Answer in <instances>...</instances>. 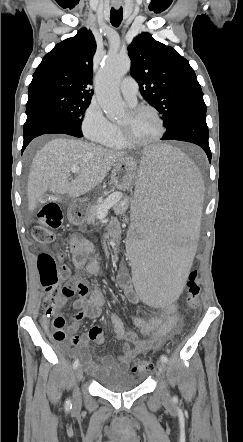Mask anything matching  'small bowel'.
Instances as JSON below:
<instances>
[{
    "label": "small bowel",
    "mask_w": 243,
    "mask_h": 442,
    "mask_svg": "<svg viewBox=\"0 0 243 442\" xmlns=\"http://www.w3.org/2000/svg\"><path fill=\"white\" fill-rule=\"evenodd\" d=\"M109 230L114 232L115 225H110ZM70 251L72 266L76 272L84 269L88 274L93 275L99 271L100 258L95 253V246L92 241L74 236L70 241ZM117 284L131 303L139 302L140 298L134 296L132 282L127 273L121 272L118 274ZM66 287L78 291V298L74 302V308L77 312L71 316L67 327L71 335L70 341L76 346V354L85 360L87 369L92 374L100 375L110 371H127L133 357L157 350L180 330L177 310L172 304H170V307H164L160 315L156 317L148 320L136 317L132 320L133 325L140 330L143 339H139L134 332L126 331L122 322L118 318H114L115 338L124 341L122 354L117 358L110 355L95 357L90 351L89 342L96 345L104 343L102 328L98 325H92L84 336H78L75 333L82 319H97L101 316L106 305L105 298L98 289H90L87 280L79 275L74 276ZM68 298H64L53 313L45 312L42 323L46 329H51L50 318L58 314L61 305Z\"/></svg>",
    "instance_id": "1"
}]
</instances>
